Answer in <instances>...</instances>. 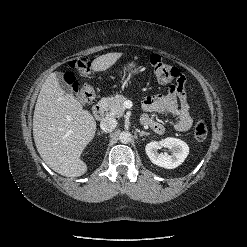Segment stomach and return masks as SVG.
<instances>
[{"label":"stomach","mask_w":247,"mask_h":247,"mask_svg":"<svg viewBox=\"0 0 247 247\" xmlns=\"http://www.w3.org/2000/svg\"><path fill=\"white\" fill-rule=\"evenodd\" d=\"M142 66H140L135 61H128L124 65V73L128 74L130 77H136L142 73Z\"/></svg>","instance_id":"stomach-1"}]
</instances>
